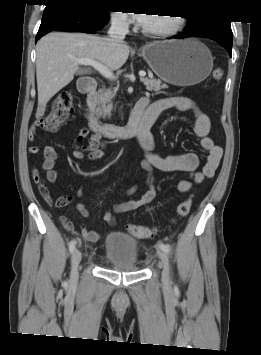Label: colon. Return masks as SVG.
Instances as JSON below:
<instances>
[{
  "label": "colon",
  "mask_w": 261,
  "mask_h": 355,
  "mask_svg": "<svg viewBox=\"0 0 261 355\" xmlns=\"http://www.w3.org/2000/svg\"><path fill=\"white\" fill-rule=\"evenodd\" d=\"M223 70L217 68L212 73V78L219 81L223 78ZM73 116V94L69 89H64L58 93L53 100L49 114L38 120L36 125L46 131H55L60 125L68 122ZM192 206L191 198L182 201L176 209V217L183 218L188 215ZM131 235L136 238H150L157 233V229L137 224L127 225Z\"/></svg>",
  "instance_id": "5ec220e1"
}]
</instances>
